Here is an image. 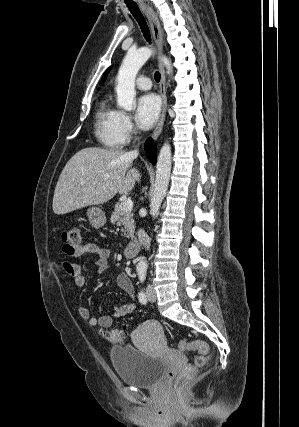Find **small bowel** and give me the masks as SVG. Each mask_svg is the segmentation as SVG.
Returning a JSON list of instances; mask_svg holds the SVG:
<instances>
[{
    "mask_svg": "<svg viewBox=\"0 0 299 427\" xmlns=\"http://www.w3.org/2000/svg\"><path fill=\"white\" fill-rule=\"evenodd\" d=\"M63 253L68 258H77L84 254L95 256V268L98 273H104L108 268V259L110 252L107 248L102 247L96 243H80L78 245H65ZM65 273L74 279L75 285L83 288L86 284L85 277L82 274L81 267L69 260L62 263ZM116 284L124 290L130 297L134 295V287L131 279L125 273H120L116 276ZM136 308L134 301H129L126 304L115 307L112 315H104L94 317L91 311L86 306H80L78 311L82 319L86 320L91 326H99L100 328H109L114 319H121L126 315L132 313Z\"/></svg>",
    "mask_w": 299,
    "mask_h": 427,
    "instance_id": "small-bowel-1",
    "label": "small bowel"
}]
</instances>
